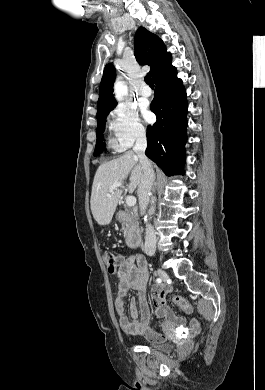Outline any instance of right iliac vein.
<instances>
[{
	"mask_svg": "<svg viewBox=\"0 0 265 390\" xmlns=\"http://www.w3.org/2000/svg\"><path fill=\"white\" fill-rule=\"evenodd\" d=\"M155 274L159 276V278H161L162 280L168 279V274L162 269H157Z\"/></svg>",
	"mask_w": 265,
	"mask_h": 390,
	"instance_id": "1",
	"label": "right iliac vein"
}]
</instances>
